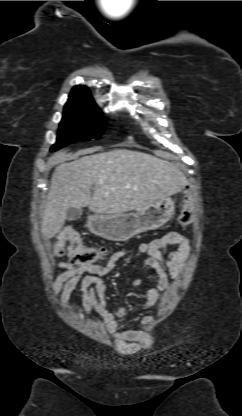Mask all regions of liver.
Returning a JSON list of instances; mask_svg holds the SVG:
<instances>
[{"mask_svg":"<svg viewBox=\"0 0 242 416\" xmlns=\"http://www.w3.org/2000/svg\"><path fill=\"white\" fill-rule=\"evenodd\" d=\"M187 184L177 165L127 149L63 162L52 174L41 222L43 238L51 239L60 232L70 207L88 206L101 215L139 212L181 192Z\"/></svg>","mask_w":242,"mask_h":416,"instance_id":"6515ba94","label":"liver"}]
</instances>
